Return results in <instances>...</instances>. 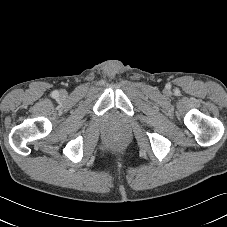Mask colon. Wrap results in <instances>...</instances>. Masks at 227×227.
<instances>
[{"instance_id": "colon-1", "label": "colon", "mask_w": 227, "mask_h": 227, "mask_svg": "<svg viewBox=\"0 0 227 227\" xmlns=\"http://www.w3.org/2000/svg\"><path fill=\"white\" fill-rule=\"evenodd\" d=\"M113 145H114V147L118 148V147H120L122 145V143L119 140H115Z\"/></svg>"}]
</instances>
